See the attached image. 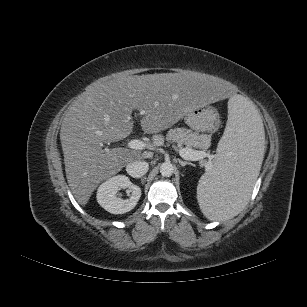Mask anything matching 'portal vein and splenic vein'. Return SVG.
<instances>
[{
  "label": "portal vein and splenic vein",
  "instance_id": "1",
  "mask_svg": "<svg viewBox=\"0 0 307 307\" xmlns=\"http://www.w3.org/2000/svg\"><path fill=\"white\" fill-rule=\"evenodd\" d=\"M127 147L130 149L142 150V149L147 148L148 145L142 140L133 139L128 142ZM179 154L185 160H190V161L202 160L203 158L208 156V154L204 151L194 150V149L187 148V147L186 148L180 147ZM211 165H212L211 160L205 163L204 165L205 170L209 171V169L211 168Z\"/></svg>",
  "mask_w": 307,
  "mask_h": 307
}]
</instances>
